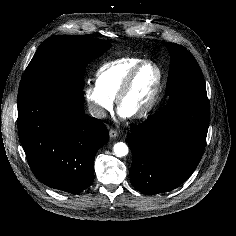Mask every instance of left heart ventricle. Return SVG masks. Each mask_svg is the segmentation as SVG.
Wrapping results in <instances>:
<instances>
[{
  "label": "left heart ventricle",
  "instance_id": "left-heart-ventricle-1",
  "mask_svg": "<svg viewBox=\"0 0 236 236\" xmlns=\"http://www.w3.org/2000/svg\"><path fill=\"white\" fill-rule=\"evenodd\" d=\"M158 83V71L153 65L143 67L121 103V111L127 116L141 111L150 101Z\"/></svg>",
  "mask_w": 236,
  "mask_h": 236
}]
</instances>
